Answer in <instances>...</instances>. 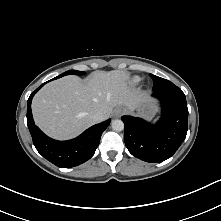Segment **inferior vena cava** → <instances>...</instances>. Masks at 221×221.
I'll return each instance as SVG.
<instances>
[{"instance_id": "inferior-vena-cava-1", "label": "inferior vena cava", "mask_w": 221, "mask_h": 221, "mask_svg": "<svg viewBox=\"0 0 221 221\" xmlns=\"http://www.w3.org/2000/svg\"><path fill=\"white\" fill-rule=\"evenodd\" d=\"M93 120L97 123L103 121L105 119L104 114L102 112H96L92 115Z\"/></svg>"}]
</instances>
